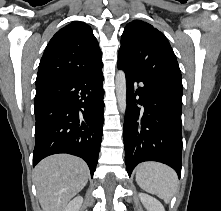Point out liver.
I'll return each mask as SVG.
<instances>
[{
    "instance_id": "6515ba94",
    "label": "liver",
    "mask_w": 221,
    "mask_h": 211,
    "mask_svg": "<svg viewBox=\"0 0 221 211\" xmlns=\"http://www.w3.org/2000/svg\"><path fill=\"white\" fill-rule=\"evenodd\" d=\"M34 174L43 211H64L69 201L86 186L89 169L78 157L57 154L43 159Z\"/></svg>"
}]
</instances>
